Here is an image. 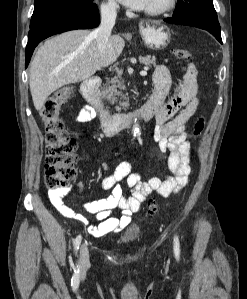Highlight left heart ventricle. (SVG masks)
<instances>
[{
	"label": "left heart ventricle",
	"instance_id": "b2bd125f",
	"mask_svg": "<svg viewBox=\"0 0 247 299\" xmlns=\"http://www.w3.org/2000/svg\"><path fill=\"white\" fill-rule=\"evenodd\" d=\"M161 1H162V0H150L147 7H151V6L157 4V3L161 2Z\"/></svg>",
	"mask_w": 247,
	"mask_h": 299
}]
</instances>
